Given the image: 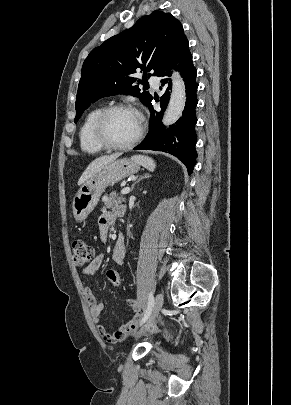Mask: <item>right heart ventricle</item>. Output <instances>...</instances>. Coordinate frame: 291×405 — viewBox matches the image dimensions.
<instances>
[{
	"mask_svg": "<svg viewBox=\"0 0 291 405\" xmlns=\"http://www.w3.org/2000/svg\"><path fill=\"white\" fill-rule=\"evenodd\" d=\"M102 110L101 107H96L90 110L84 117L79 129V143L83 152L88 154H97L104 150L93 137V124L97 115Z\"/></svg>",
	"mask_w": 291,
	"mask_h": 405,
	"instance_id": "e07e8e85",
	"label": "right heart ventricle"
}]
</instances>
